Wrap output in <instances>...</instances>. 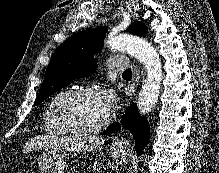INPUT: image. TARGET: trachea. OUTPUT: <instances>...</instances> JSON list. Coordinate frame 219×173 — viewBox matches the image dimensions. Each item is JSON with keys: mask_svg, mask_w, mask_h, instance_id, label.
I'll return each instance as SVG.
<instances>
[{"mask_svg": "<svg viewBox=\"0 0 219 173\" xmlns=\"http://www.w3.org/2000/svg\"><path fill=\"white\" fill-rule=\"evenodd\" d=\"M123 74H128V75H131L132 74V72H131V69H128V70H126Z\"/></svg>", "mask_w": 219, "mask_h": 173, "instance_id": "trachea-1", "label": "trachea"}]
</instances>
